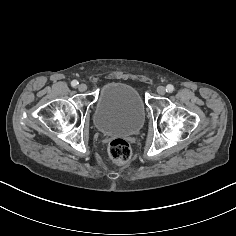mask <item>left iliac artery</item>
Returning <instances> with one entry per match:
<instances>
[{"label":"left iliac artery","instance_id":"44dca946","mask_svg":"<svg viewBox=\"0 0 236 236\" xmlns=\"http://www.w3.org/2000/svg\"><path fill=\"white\" fill-rule=\"evenodd\" d=\"M174 91V86L169 84L166 86V92L171 93Z\"/></svg>","mask_w":236,"mask_h":236}]
</instances>
